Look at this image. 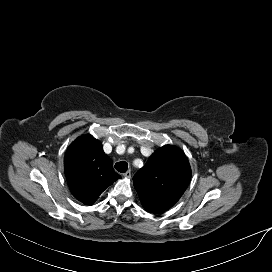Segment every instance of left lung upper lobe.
<instances>
[{"mask_svg": "<svg viewBox=\"0 0 272 272\" xmlns=\"http://www.w3.org/2000/svg\"><path fill=\"white\" fill-rule=\"evenodd\" d=\"M190 179L191 168L183 151L165 145L149 157L133 182L144 208L150 213H162L180 199Z\"/></svg>", "mask_w": 272, "mask_h": 272, "instance_id": "1", "label": "left lung upper lobe"}]
</instances>
